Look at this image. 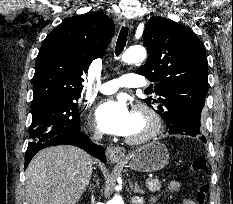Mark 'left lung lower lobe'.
Wrapping results in <instances>:
<instances>
[{"label":"left lung lower lobe","mask_w":233,"mask_h":204,"mask_svg":"<svg viewBox=\"0 0 233 204\" xmlns=\"http://www.w3.org/2000/svg\"><path fill=\"white\" fill-rule=\"evenodd\" d=\"M200 104L190 100H181L175 102L169 110V118L167 122L168 133L174 134L179 128H200ZM200 140L206 142V138L198 134Z\"/></svg>","instance_id":"0a47b994"}]
</instances>
